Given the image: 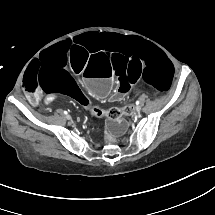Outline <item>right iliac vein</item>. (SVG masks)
Returning a JSON list of instances; mask_svg holds the SVG:
<instances>
[{"label":"right iliac vein","instance_id":"right-iliac-vein-1","mask_svg":"<svg viewBox=\"0 0 215 215\" xmlns=\"http://www.w3.org/2000/svg\"><path fill=\"white\" fill-rule=\"evenodd\" d=\"M66 118H67L68 120H70V116H66Z\"/></svg>","mask_w":215,"mask_h":215}]
</instances>
